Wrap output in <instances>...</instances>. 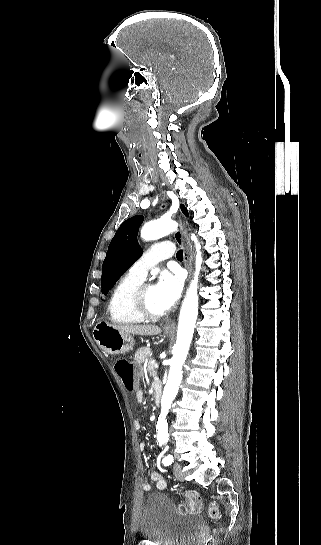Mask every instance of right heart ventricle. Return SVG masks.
Wrapping results in <instances>:
<instances>
[{"label": "right heart ventricle", "instance_id": "e07e8e85", "mask_svg": "<svg viewBox=\"0 0 321 545\" xmlns=\"http://www.w3.org/2000/svg\"><path fill=\"white\" fill-rule=\"evenodd\" d=\"M143 280L131 276L129 273L122 275L113 288L107 303V314L112 324L117 326H130L143 321L132 313L129 307L132 291Z\"/></svg>", "mask_w": 321, "mask_h": 545}]
</instances>
